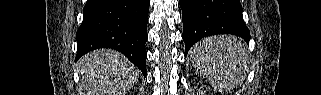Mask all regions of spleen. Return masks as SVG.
<instances>
[{
    "instance_id": "spleen-1",
    "label": "spleen",
    "mask_w": 321,
    "mask_h": 95,
    "mask_svg": "<svg viewBox=\"0 0 321 95\" xmlns=\"http://www.w3.org/2000/svg\"><path fill=\"white\" fill-rule=\"evenodd\" d=\"M193 67L218 90H232L243 82L248 54L235 36H211L190 51Z\"/></svg>"
}]
</instances>
